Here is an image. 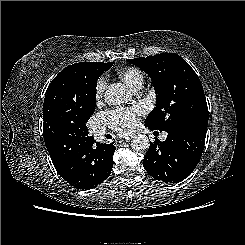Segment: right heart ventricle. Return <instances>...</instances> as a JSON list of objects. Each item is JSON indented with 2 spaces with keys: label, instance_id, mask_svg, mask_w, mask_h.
Here are the masks:
<instances>
[{
  "label": "right heart ventricle",
  "instance_id": "right-heart-ventricle-1",
  "mask_svg": "<svg viewBox=\"0 0 245 245\" xmlns=\"http://www.w3.org/2000/svg\"><path fill=\"white\" fill-rule=\"evenodd\" d=\"M118 77L132 89H138L144 81L143 72L137 67H127L118 71Z\"/></svg>",
  "mask_w": 245,
  "mask_h": 245
}]
</instances>
